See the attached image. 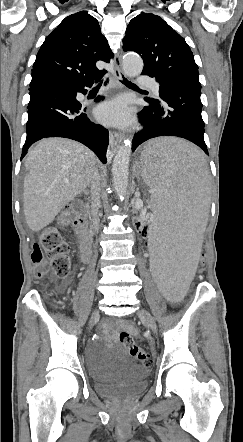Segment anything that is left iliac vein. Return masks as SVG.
I'll return each instance as SVG.
<instances>
[{"mask_svg": "<svg viewBox=\"0 0 243 442\" xmlns=\"http://www.w3.org/2000/svg\"><path fill=\"white\" fill-rule=\"evenodd\" d=\"M137 314H138L139 318L147 324V326L149 327L150 330H152L154 332L157 331V324L155 322V319L151 315V313H149L147 310L141 308V309H139Z\"/></svg>", "mask_w": 243, "mask_h": 442, "instance_id": "left-iliac-vein-1", "label": "left iliac vein"}]
</instances>
